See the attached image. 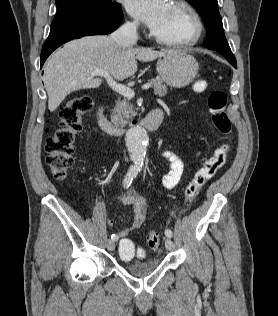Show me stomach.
Returning a JSON list of instances; mask_svg holds the SVG:
<instances>
[{
    "instance_id": "0dacf381",
    "label": "stomach",
    "mask_w": 278,
    "mask_h": 316,
    "mask_svg": "<svg viewBox=\"0 0 278 316\" xmlns=\"http://www.w3.org/2000/svg\"><path fill=\"white\" fill-rule=\"evenodd\" d=\"M196 59L181 50L165 52L157 61V71L162 80L175 88L189 85L198 73Z\"/></svg>"
}]
</instances>
